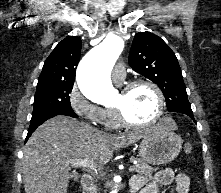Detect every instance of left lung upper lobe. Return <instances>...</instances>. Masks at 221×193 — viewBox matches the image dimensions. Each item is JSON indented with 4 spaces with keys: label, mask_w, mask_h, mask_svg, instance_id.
<instances>
[{
    "label": "left lung upper lobe",
    "mask_w": 221,
    "mask_h": 193,
    "mask_svg": "<svg viewBox=\"0 0 221 193\" xmlns=\"http://www.w3.org/2000/svg\"><path fill=\"white\" fill-rule=\"evenodd\" d=\"M128 62L134 71L159 86L169 112L192 111L175 53L159 36L150 32L137 33Z\"/></svg>",
    "instance_id": "1"
}]
</instances>
